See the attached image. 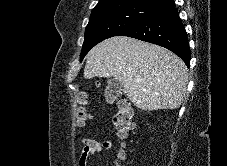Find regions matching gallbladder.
<instances>
[{
	"instance_id": "1",
	"label": "gallbladder",
	"mask_w": 227,
	"mask_h": 166,
	"mask_svg": "<svg viewBox=\"0 0 227 166\" xmlns=\"http://www.w3.org/2000/svg\"><path fill=\"white\" fill-rule=\"evenodd\" d=\"M122 83L116 78L109 79L105 89V97L108 102H114L121 94Z\"/></svg>"
}]
</instances>
